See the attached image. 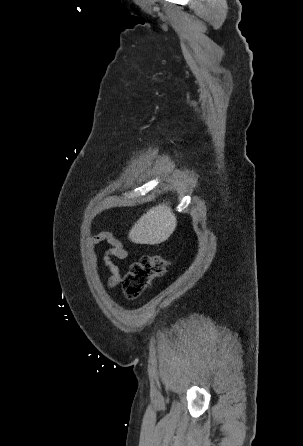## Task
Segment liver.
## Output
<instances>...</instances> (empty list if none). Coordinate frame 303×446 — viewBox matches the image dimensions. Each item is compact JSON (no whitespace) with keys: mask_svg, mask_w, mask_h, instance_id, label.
Instances as JSON below:
<instances>
[{"mask_svg":"<svg viewBox=\"0 0 303 446\" xmlns=\"http://www.w3.org/2000/svg\"><path fill=\"white\" fill-rule=\"evenodd\" d=\"M177 219L168 203L149 209L134 224L128 238L136 244L155 245L166 241L174 232Z\"/></svg>","mask_w":303,"mask_h":446,"instance_id":"liver-1","label":"liver"}]
</instances>
